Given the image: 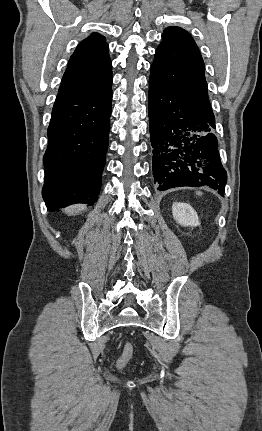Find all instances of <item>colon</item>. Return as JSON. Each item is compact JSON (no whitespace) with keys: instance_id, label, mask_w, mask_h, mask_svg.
Listing matches in <instances>:
<instances>
[{"instance_id":"5ec220e1","label":"colon","mask_w":262,"mask_h":431,"mask_svg":"<svg viewBox=\"0 0 262 431\" xmlns=\"http://www.w3.org/2000/svg\"><path fill=\"white\" fill-rule=\"evenodd\" d=\"M133 349H134V346L132 342H127L125 344L122 354L117 359L116 365L118 369H123L126 367V365L133 357Z\"/></svg>"}]
</instances>
